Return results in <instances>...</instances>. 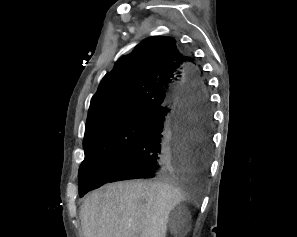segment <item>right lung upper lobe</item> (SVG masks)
Instances as JSON below:
<instances>
[{
	"instance_id": "obj_1",
	"label": "right lung upper lobe",
	"mask_w": 297,
	"mask_h": 237,
	"mask_svg": "<svg viewBox=\"0 0 297 237\" xmlns=\"http://www.w3.org/2000/svg\"><path fill=\"white\" fill-rule=\"evenodd\" d=\"M193 59L170 37L153 36L121 57L92 97L86 128L114 116L153 113L167 104L173 90L188 80Z\"/></svg>"
}]
</instances>
